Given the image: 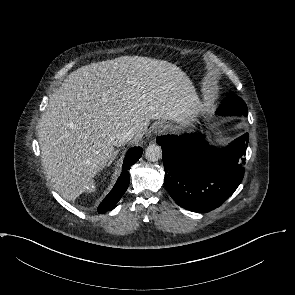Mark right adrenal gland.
I'll return each instance as SVG.
<instances>
[{
    "instance_id": "obj_1",
    "label": "right adrenal gland",
    "mask_w": 295,
    "mask_h": 295,
    "mask_svg": "<svg viewBox=\"0 0 295 295\" xmlns=\"http://www.w3.org/2000/svg\"><path fill=\"white\" fill-rule=\"evenodd\" d=\"M119 151H120L119 149H116V150L114 151V154H113L111 160L109 161L108 166L111 165L112 161L115 159V157L117 156V154L119 153Z\"/></svg>"
}]
</instances>
